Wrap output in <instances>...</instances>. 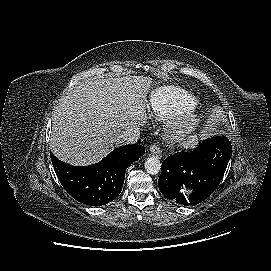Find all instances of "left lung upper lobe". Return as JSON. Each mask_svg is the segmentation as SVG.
<instances>
[{"instance_id":"obj_1","label":"left lung upper lobe","mask_w":271,"mask_h":271,"mask_svg":"<svg viewBox=\"0 0 271 271\" xmlns=\"http://www.w3.org/2000/svg\"><path fill=\"white\" fill-rule=\"evenodd\" d=\"M201 150L203 152L204 159L226 170L227 164L232 155V146L226 137L221 140L205 143Z\"/></svg>"}]
</instances>
